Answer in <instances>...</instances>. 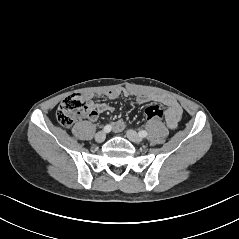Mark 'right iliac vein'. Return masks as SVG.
I'll use <instances>...</instances> for the list:
<instances>
[{"mask_svg": "<svg viewBox=\"0 0 239 239\" xmlns=\"http://www.w3.org/2000/svg\"><path fill=\"white\" fill-rule=\"evenodd\" d=\"M106 138V133L104 131H100L95 135V140L98 143H102Z\"/></svg>", "mask_w": 239, "mask_h": 239, "instance_id": "right-iliac-vein-1", "label": "right iliac vein"}]
</instances>
